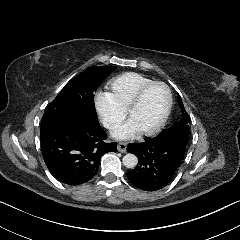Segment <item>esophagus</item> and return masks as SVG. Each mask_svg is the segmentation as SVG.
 <instances>
[{
  "instance_id": "esophagus-1",
  "label": "esophagus",
  "mask_w": 240,
  "mask_h": 240,
  "mask_svg": "<svg viewBox=\"0 0 240 240\" xmlns=\"http://www.w3.org/2000/svg\"><path fill=\"white\" fill-rule=\"evenodd\" d=\"M117 149L121 153H125L127 150V143L126 142H119L117 145Z\"/></svg>"
}]
</instances>
